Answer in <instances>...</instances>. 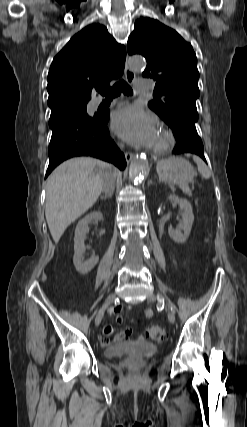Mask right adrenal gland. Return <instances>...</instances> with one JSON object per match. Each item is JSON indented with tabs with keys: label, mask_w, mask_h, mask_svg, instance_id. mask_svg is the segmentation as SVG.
Instances as JSON below:
<instances>
[{
	"label": "right adrenal gland",
	"mask_w": 247,
	"mask_h": 427,
	"mask_svg": "<svg viewBox=\"0 0 247 427\" xmlns=\"http://www.w3.org/2000/svg\"><path fill=\"white\" fill-rule=\"evenodd\" d=\"M109 197H111V194H109V195H105V196H101V199H102V200H105V199H107V198H109Z\"/></svg>",
	"instance_id": "2a0ac1e0"
}]
</instances>
